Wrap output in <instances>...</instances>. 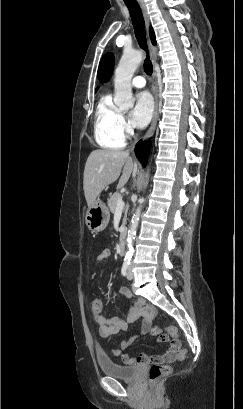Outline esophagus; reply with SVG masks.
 <instances>
[{
    "label": "esophagus",
    "instance_id": "esophagus-1",
    "mask_svg": "<svg viewBox=\"0 0 243 409\" xmlns=\"http://www.w3.org/2000/svg\"><path fill=\"white\" fill-rule=\"evenodd\" d=\"M138 3L140 5L141 11H142V14H143V17H144V21H145L146 29H147V34H148V30H149V27H150V19H149L147 7H146V4L143 2V0H138ZM147 40H148V45H149V49H150L152 63H153V65H155L156 60H157V47L154 46L151 43L149 35H147ZM151 86H152V92H153L154 101H155V107H154V113H153V118H152L151 125H150L144 139H148L149 137H151L153 135V133L155 131V128H156L157 119H158L159 98H158V89H157V84H156V71L155 70L153 72V76H152V80H151Z\"/></svg>",
    "mask_w": 243,
    "mask_h": 409
}]
</instances>
